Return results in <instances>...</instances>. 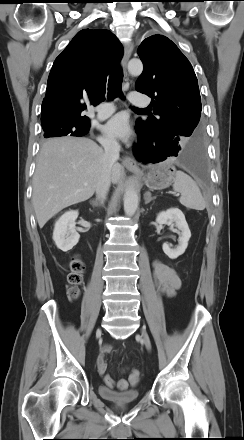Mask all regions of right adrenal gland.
<instances>
[{
    "mask_svg": "<svg viewBox=\"0 0 244 440\" xmlns=\"http://www.w3.org/2000/svg\"><path fill=\"white\" fill-rule=\"evenodd\" d=\"M90 203H91V205L93 207H99L100 206V203L98 202V200H91Z\"/></svg>",
    "mask_w": 244,
    "mask_h": 440,
    "instance_id": "1",
    "label": "right adrenal gland"
}]
</instances>
